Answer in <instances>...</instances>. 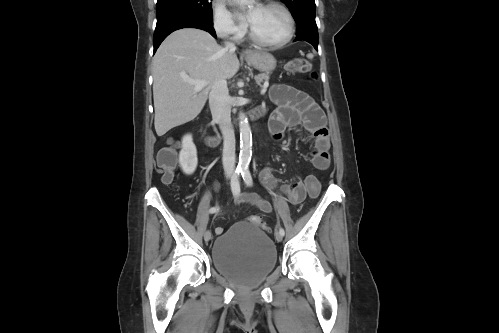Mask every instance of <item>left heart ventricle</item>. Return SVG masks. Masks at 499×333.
<instances>
[{
    "label": "left heart ventricle",
    "mask_w": 499,
    "mask_h": 333,
    "mask_svg": "<svg viewBox=\"0 0 499 333\" xmlns=\"http://www.w3.org/2000/svg\"><path fill=\"white\" fill-rule=\"evenodd\" d=\"M250 26L263 40L278 41L283 39L288 31V21L282 10L276 7H253Z\"/></svg>",
    "instance_id": "b2bd125f"
}]
</instances>
